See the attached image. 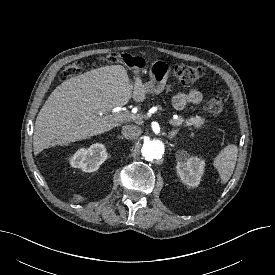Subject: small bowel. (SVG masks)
<instances>
[{
  "label": "small bowel",
  "mask_w": 275,
  "mask_h": 275,
  "mask_svg": "<svg viewBox=\"0 0 275 275\" xmlns=\"http://www.w3.org/2000/svg\"><path fill=\"white\" fill-rule=\"evenodd\" d=\"M201 100V92L196 89H192L188 93L177 94L173 99V103L177 109H182L189 103L198 104Z\"/></svg>",
  "instance_id": "1"
}]
</instances>
